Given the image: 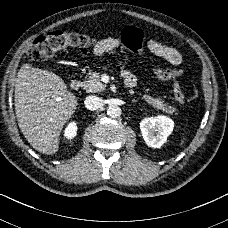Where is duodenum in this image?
Wrapping results in <instances>:
<instances>
[{"instance_id": "1", "label": "duodenum", "mask_w": 228, "mask_h": 228, "mask_svg": "<svg viewBox=\"0 0 228 228\" xmlns=\"http://www.w3.org/2000/svg\"><path fill=\"white\" fill-rule=\"evenodd\" d=\"M69 84H70L71 89L77 91L81 88L82 81L80 78L74 77L70 80ZM125 84L127 87H133L135 82L131 79H127V80H125Z\"/></svg>"}]
</instances>
